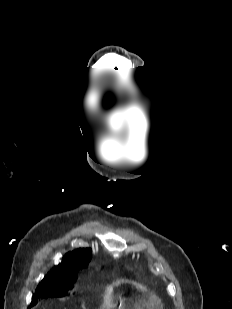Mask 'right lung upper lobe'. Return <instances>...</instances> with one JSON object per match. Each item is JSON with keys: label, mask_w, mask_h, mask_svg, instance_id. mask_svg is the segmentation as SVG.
I'll return each mask as SVG.
<instances>
[{"label": "right lung upper lobe", "mask_w": 232, "mask_h": 309, "mask_svg": "<svg viewBox=\"0 0 232 309\" xmlns=\"http://www.w3.org/2000/svg\"><path fill=\"white\" fill-rule=\"evenodd\" d=\"M92 258V250L90 248H80L67 253L62 258V262L53 268L42 280L44 283H55L70 281L77 279V271L86 267Z\"/></svg>", "instance_id": "1"}]
</instances>
